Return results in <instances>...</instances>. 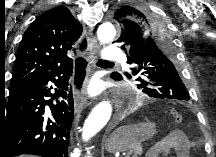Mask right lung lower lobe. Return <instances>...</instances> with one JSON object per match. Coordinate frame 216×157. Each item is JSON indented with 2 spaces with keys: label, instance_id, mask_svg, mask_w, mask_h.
<instances>
[{
  "label": "right lung lower lobe",
  "instance_id": "obj_1",
  "mask_svg": "<svg viewBox=\"0 0 216 157\" xmlns=\"http://www.w3.org/2000/svg\"><path fill=\"white\" fill-rule=\"evenodd\" d=\"M72 70L73 62L10 90L6 105L4 98L0 108V157H68L74 113L73 95L68 89ZM50 82L57 87L55 93H51Z\"/></svg>",
  "mask_w": 216,
  "mask_h": 157
}]
</instances>
